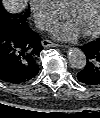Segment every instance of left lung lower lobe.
<instances>
[{"mask_svg":"<svg viewBox=\"0 0 100 118\" xmlns=\"http://www.w3.org/2000/svg\"><path fill=\"white\" fill-rule=\"evenodd\" d=\"M86 56L85 67L78 72L77 79L89 86L100 85V38L80 46Z\"/></svg>","mask_w":100,"mask_h":118,"instance_id":"1","label":"left lung lower lobe"}]
</instances>
